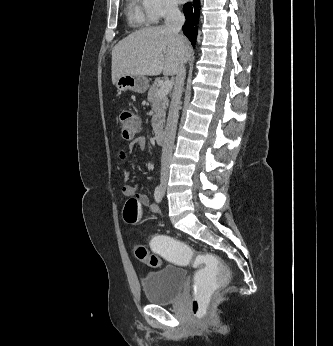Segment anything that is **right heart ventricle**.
Instances as JSON below:
<instances>
[{"mask_svg":"<svg viewBox=\"0 0 333 346\" xmlns=\"http://www.w3.org/2000/svg\"><path fill=\"white\" fill-rule=\"evenodd\" d=\"M140 0H128L127 17L130 24L134 26H142L149 24L143 8L140 6Z\"/></svg>","mask_w":333,"mask_h":346,"instance_id":"obj_1","label":"right heart ventricle"}]
</instances>
